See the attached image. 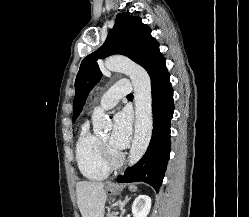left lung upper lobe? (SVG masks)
Returning <instances> with one entry per match:
<instances>
[{"label": "left lung upper lobe", "instance_id": "obj_1", "mask_svg": "<svg viewBox=\"0 0 249 217\" xmlns=\"http://www.w3.org/2000/svg\"><path fill=\"white\" fill-rule=\"evenodd\" d=\"M113 54L129 57L144 67L149 75L164 60L158 42L151 36V29L142 23L141 18L128 13L118 14L105 43L97 51L86 56L80 65L75 80L73 121L82 111L89 92L100 80L101 72L97 60Z\"/></svg>", "mask_w": 249, "mask_h": 217}]
</instances>
